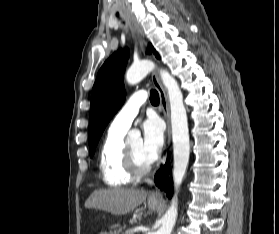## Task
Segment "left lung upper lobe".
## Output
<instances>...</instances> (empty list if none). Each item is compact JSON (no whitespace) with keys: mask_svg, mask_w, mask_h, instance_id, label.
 Masks as SVG:
<instances>
[{"mask_svg":"<svg viewBox=\"0 0 279 234\" xmlns=\"http://www.w3.org/2000/svg\"><path fill=\"white\" fill-rule=\"evenodd\" d=\"M159 55L149 44L148 52ZM128 50H118L100 68L91 94L89 116V152L94 155L98 141L110 119L118 111L126 97L123 75Z\"/></svg>","mask_w":279,"mask_h":234,"instance_id":"left-lung-upper-lobe-1","label":"left lung upper lobe"}]
</instances>
